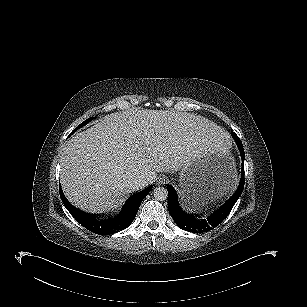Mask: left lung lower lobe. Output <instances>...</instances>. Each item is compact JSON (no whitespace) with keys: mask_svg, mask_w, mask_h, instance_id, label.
<instances>
[{"mask_svg":"<svg viewBox=\"0 0 307 307\" xmlns=\"http://www.w3.org/2000/svg\"><path fill=\"white\" fill-rule=\"evenodd\" d=\"M233 136V135H232ZM242 157V177L236 192L219 209L207 218L199 219V215L189 214L183 211L179 204L176 191L171 185H167L169 213L175 223L183 230L192 233H204L217 227L230 213L232 207L240 197L244 188V149L242 144H238Z\"/></svg>","mask_w":307,"mask_h":307,"instance_id":"0a47b994","label":"left lung lower lobe"}]
</instances>
